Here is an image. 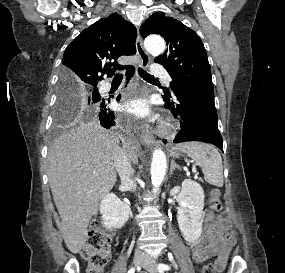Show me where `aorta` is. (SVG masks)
Listing matches in <instances>:
<instances>
[{"label":"aorta","instance_id":"aorta-1","mask_svg":"<svg viewBox=\"0 0 285 273\" xmlns=\"http://www.w3.org/2000/svg\"><path fill=\"white\" fill-rule=\"evenodd\" d=\"M145 47L148 52L162 53L165 50V42L159 36H149L145 40ZM167 168V160L165 153L160 148H156L153 152V158L151 163V182L153 185V192H158L161 186Z\"/></svg>","mask_w":285,"mask_h":273}]
</instances>
